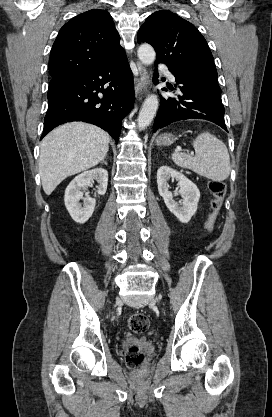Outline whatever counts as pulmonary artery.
<instances>
[{"label":"pulmonary artery","mask_w":272,"mask_h":417,"mask_svg":"<svg viewBox=\"0 0 272 417\" xmlns=\"http://www.w3.org/2000/svg\"><path fill=\"white\" fill-rule=\"evenodd\" d=\"M165 71H166V74H167V76L169 77V79H170L171 81H175V77H174V75H173L170 71H168V70H166V69H165Z\"/></svg>","instance_id":"1"}]
</instances>
